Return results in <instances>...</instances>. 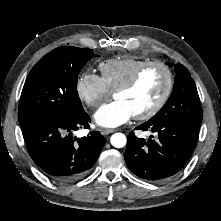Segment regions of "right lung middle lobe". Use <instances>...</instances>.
Here are the masks:
<instances>
[{
    "label": "right lung middle lobe",
    "mask_w": 221,
    "mask_h": 221,
    "mask_svg": "<svg viewBox=\"0 0 221 221\" xmlns=\"http://www.w3.org/2000/svg\"><path fill=\"white\" fill-rule=\"evenodd\" d=\"M98 57L89 48L63 46L45 55L24 84L18 110L22 130L49 119H69L84 112L77 93L83 66Z\"/></svg>",
    "instance_id": "obj_1"
}]
</instances>
